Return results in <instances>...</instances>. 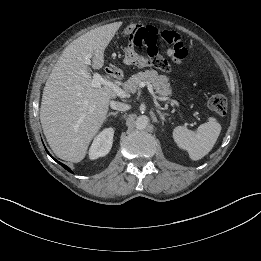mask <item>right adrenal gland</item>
Returning a JSON list of instances; mask_svg holds the SVG:
<instances>
[{
    "instance_id": "obj_1",
    "label": "right adrenal gland",
    "mask_w": 261,
    "mask_h": 261,
    "mask_svg": "<svg viewBox=\"0 0 261 261\" xmlns=\"http://www.w3.org/2000/svg\"><path fill=\"white\" fill-rule=\"evenodd\" d=\"M118 112H109L106 116V118H108L109 116H117Z\"/></svg>"
}]
</instances>
